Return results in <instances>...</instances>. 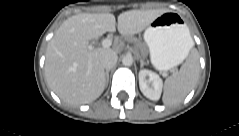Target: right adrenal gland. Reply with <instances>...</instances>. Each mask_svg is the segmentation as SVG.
<instances>
[{
    "instance_id": "2a0ac1e0",
    "label": "right adrenal gland",
    "mask_w": 239,
    "mask_h": 136,
    "mask_svg": "<svg viewBox=\"0 0 239 136\" xmlns=\"http://www.w3.org/2000/svg\"><path fill=\"white\" fill-rule=\"evenodd\" d=\"M109 72H110V69H107L106 72H105V75H106V86L108 85V81H109Z\"/></svg>"
}]
</instances>
